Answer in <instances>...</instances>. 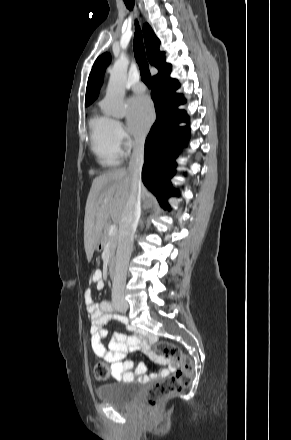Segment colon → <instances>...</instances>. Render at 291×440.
Listing matches in <instances>:
<instances>
[{"mask_svg":"<svg viewBox=\"0 0 291 440\" xmlns=\"http://www.w3.org/2000/svg\"><path fill=\"white\" fill-rule=\"evenodd\" d=\"M151 355L158 359H174L179 362V369L170 377L155 382L147 391L144 403L150 409L157 408L160 403L188 387L193 379L194 365L176 345L167 341L155 342L151 347ZM111 369L105 363L96 365L95 378L106 381L111 376Z\"/></svg>","mask_w":291,"mask_h":440,"instance_id":"5ec220e1","label":"colon"}]
</instances>
